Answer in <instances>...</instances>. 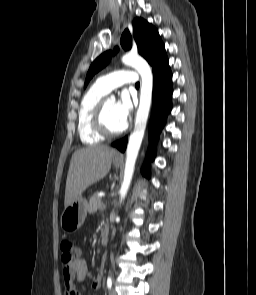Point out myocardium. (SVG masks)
<instances>
[{
  "instance_id": "myocardium-1",
  "label": "myocardium",
  "mask_w": 256,
  "mask_h": 295,
  "mask_svg": "<svg viewBox=\"0 0 256 295\" xmlns=\"http://www.w3.org/2000/svg\"><path fill=\"white\" fill-rule=\"evenodd\" d=\"M106 101L107 99L103 98L97 104L93 112V127L101 136L112 138L121 135L126 130V126H123L118 131H112L108 128L104 120Z\"/></svg>"
}]
</instances>
